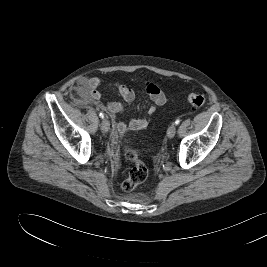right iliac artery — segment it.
Masks as SVG:
<instances>
[{
    "label": "right iliac artery",
    "mask_w": 267,
    "mask_h": 267,
    "mask_svg": "<svg viewBox=\"0 0 267 267\" xmlns=\"http://www.w3.org/2000/svg\"><path fill=\"white\" fill-rule=\"evenodd\" d=\"M99 116L103 119L104 118V114L101 112L100 114H99Z\"/></svg>",
    "instance_id": "1"
}]
</instances>
